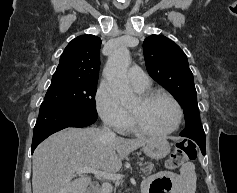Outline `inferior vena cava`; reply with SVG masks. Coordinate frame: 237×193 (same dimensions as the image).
<instances>
[{"label":"inferior vena cava","instance_id":"obj_1","mask_svg":"<svg viewBox=\"0 0 237 193\" xmlns=\"http://www.w3.org/2000/svg\"><path fill=\"white\" fill-rule=\"evenodd\" d=\"M103 130L109 137H115L116 134L112 132L106 125L103 126ZM112 192V186L109 183H103L102 185V193H111Z\"/></svg>","mask_w":237,"mask_h":193}]
</instances>
